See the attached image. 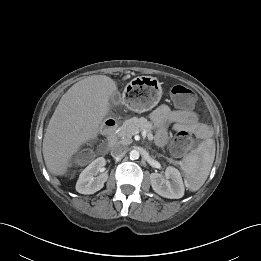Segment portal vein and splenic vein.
Wrapping results in <instances>:
<instances>
[{"label": "portal vein and splenic vein", "instance_id": "obj_1", "mask_svg": "<svg viewBox=\"0 0 261 261\" xmlns=\"http://www.w3.org/2000/svg\"><path fill=\"white\" fill-rule=\"evenodd\" d=\"M137 133H139V132L137 131L135 134H137ZM142 136L143 137L147 136L149 140H153V135L152 134H147L146 131H142Z\"/></svg>", "mask_w": 261, "mask_h": 261}]
</instances>
